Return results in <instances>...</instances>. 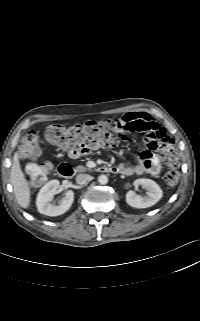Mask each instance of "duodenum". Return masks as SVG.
<instances>
[{
	"mask_svg": "<svg viewBox=\"0 0 200 321\" xmlns=\"http://www.w3.org/2000/svg\"><path fill=\"white\" fill-rule=\"evenodd\" d=\"M98 170L101 172H107V173H118V168L115 166H100L98 167ZM58 174L62 177V178H71L74 175V170L73 168L66 163H63L61 165H59L58 167Z\"/></svg>",
	"mask_w": 200,
	"mask_h": 321,
	"instance_id": "duodenum-1",
	"label": "duodenum"
}]
</instances>
